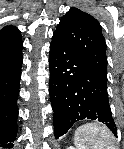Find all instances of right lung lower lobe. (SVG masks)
I'll list each match as a JSON object with an SVG mask.
<instances>
[{
    "mask_svg": "<svg viewBox=\"0 0 124 149\" xmlns=\"http://www.w3.org/2000/svg\"><path fill=\"white\" fill-rule=\"evenodd\" d=\"M21 38L0 42V142L12 148L17 135V97L21 78Z\"/></svg>",
    "mask_w": 124,
    "mask_h": 149,
    "instance_id": "obj_1",
    "label": "right lung lower lobe"
}]
</instances>
